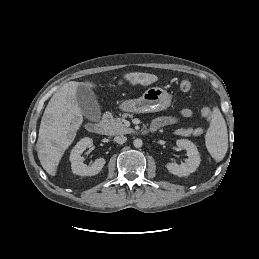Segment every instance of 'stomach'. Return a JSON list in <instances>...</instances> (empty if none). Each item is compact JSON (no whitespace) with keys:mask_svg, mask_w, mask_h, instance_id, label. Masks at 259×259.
I'll return each instance as SVG.
<instances>
[{"mask_svg":"<svg viewBox=\"0 0 259 259\" xmlns=\"http://www.w3.org/2000/svg\"><path fill=\"white\" fill-rule=\"evenodd\" d=\"M172 96L160 87L148 88L141 97L121 102L119 108L124 112L153 113L170 107Z\"/></svg>","mask_w":259,"mask_h":259,"instance_id":"0dacf381","label":"stomach"}]
</instances>
